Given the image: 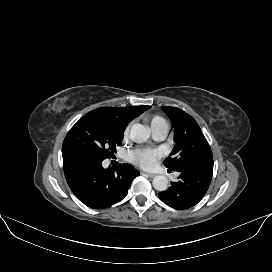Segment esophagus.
I'll use <instances>...</instances> for the list:
<instances>
[{"mask_svg": "<svg viewBox=\"0 0 272 272\" xmlns=\"http://www.w3.org/2000/svg\"><path fill=\"white\" fill-rule=\"evenodd\" d=\"M146 176L150 177V178H153L155 177V174L153 173H144Z\"/></svg>", "mask_w": 272, "mask_h": 272, "instance_id": "34e87169", "label": "esophagus"}]
</instances>
